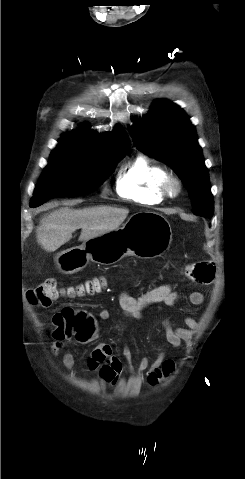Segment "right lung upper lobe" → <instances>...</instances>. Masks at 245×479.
<instances>
[{"mask_svg": "<svg viewBox=\"0 0 245 479\" xmlns=\"http://www.w3.org/2000/svg\"><path fill=\"white\" fill-rule=\"evenodd\" d=\"M60 141L79 144L94 150L128 151L130 147L128 136L121 126H117L107 138L92 130L79 129L63 134Z\"/></svg>", "mask_w": 245, "mask_h": 479, "instance_id": "1", "label": "right lung upper lobe"}]
</instances>
